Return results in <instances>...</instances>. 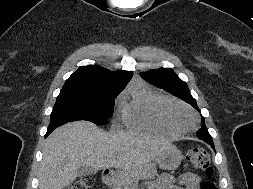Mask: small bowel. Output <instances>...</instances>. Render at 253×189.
Here are the masks:
<instances>
[{"label":"small bowel","instance_id":"small-bowel-1","mask_svg":"<svg viewBox=\"0 0 253 189\" xmlns=\"http://www.w3.org/2000/svg\"><path fill=\"white\" fill-rule=\"evenodd\" d=\"M200 178L192 172L182 173L177 178L164 174L152 185L153 189H199Z\"/></svg>","mask_w":253,"mask_h":189}]
</instances>
